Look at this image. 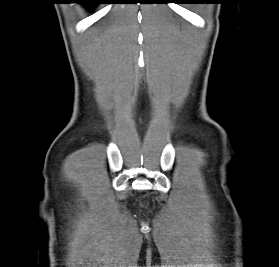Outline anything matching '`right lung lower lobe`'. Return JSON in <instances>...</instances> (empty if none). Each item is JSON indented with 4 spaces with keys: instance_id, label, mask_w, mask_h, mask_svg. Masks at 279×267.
<instances>
[{
    "instance_id": "1",
    "label": "right lung lower lobe",
    "mask_w": 279,
    "mask_h": 267,
    "mask_svg": "<svg viewBox=\"0 0 279 267\" xmlns=\"http://www.w3.org/2000/svg\"><path fill=\"white\" fill-rule=\"evenodd\" d=\"M81 3L86 4V5H94V4H97V3H101V1L100 0H84Z\"/></svg>"
}]
</instances>
